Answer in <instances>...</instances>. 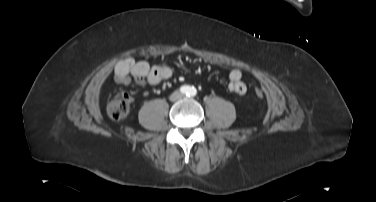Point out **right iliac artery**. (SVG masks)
<instances>
[{"label": "right iliac artery", "instance_id": "obj_1", "mask_svg": "<svg viewBox=\"0 0 376 202\" xmlns=\"http://www.w3.org/2000/svg\"><path fill=\"white\" fill-rule=\"evenodd\" d=\"M180 91H181V93H183V94H187V93H189L190 88H189L188 86H182V87L180 88Z\"/></svg>", "mask_w": 376, "mask_h": 202}]
</instances>
